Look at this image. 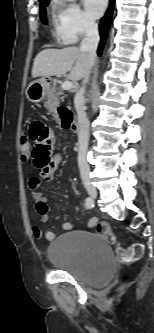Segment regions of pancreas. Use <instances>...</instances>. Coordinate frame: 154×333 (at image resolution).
Returning a JSON list of instances; mask_svg holds the SVG:
<instances>
[{"mask_svg":"<svg viewBox=\"0 0 154 333\" xmlns=\"http://www.w3.org/2000/svg\"><path fill=\"white\" fill-rule=\"evenodd\" d=\"M63 94L62 90L59 88H52L48 94L47 102L45 103V107L50 111H56L60 100L62 101L63 98H59Z\"/></svg>","mask_w":154,"mask_h":333,"instance_id":"obj_1","label":"pancreas"}]
</instances>
